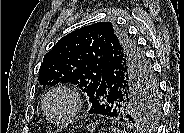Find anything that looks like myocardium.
<instances>
[{
	"mask_svg": "<svg viewBox=\"0 0 184 133\" xmlns=\"http://www.w3.org/2000/svg\"><path fill=\"white\" fill-rule=\"evenodd\" d=\"M56 95H63L68 101L67 110L58 117H51L47 112V104L50 99ZM82 101L80 94L74 89L66 85H60L49 90L43 98L41 109L44 117L51 123H64L74 118L81 110Z\"/></svg>",
	"mask_w": 184,
	"mask_h": 133,
	"instance_id": "obj_1",
	"label": "myocardium"
}]
</instances>
